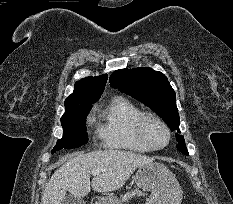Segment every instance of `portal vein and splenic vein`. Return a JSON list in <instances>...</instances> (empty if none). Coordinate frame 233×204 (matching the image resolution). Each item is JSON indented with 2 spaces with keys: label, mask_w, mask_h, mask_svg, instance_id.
Masks as SVG:
<instances>
[{
  "label": "portal vein and splenic vein",
  "mask_w": 233,
  "mask_h": 204,
  "mask_svg": "<svg viewBox=\"0 0 233 204\" xmlns=\"http://www.w3.org/2000/svg\"><path fill=\"white\" fill-rule=\"evenodd\" d=\"M105 171H106L105 169H93L91 171V173L93 176H96V175H99L100 173L105 172Z\"/></svg>",
  "instance_id": "obj_1"
}]
</instances>
